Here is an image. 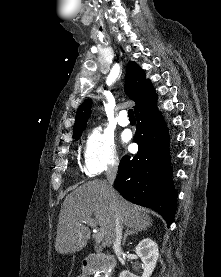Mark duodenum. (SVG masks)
Returning <instances> with one entry per match:
<instances>
[{
    "mask_svg": "<svg viewBox=\"0 0 221 277\" xmlns=\"http://www.w3.org/2000/svg\"><path fill=\"white\" fill-rule=\"evenodd\" d=\"M115 267V258L101 253L90 254L83 261V271L86 275H91L98 269L113 271Z\"/></svg>",
    "mask_w": 221,
    "mask_h": 277,
    "instance_id": "410a0bca",
    "label": "duodenum"
}]
</instances>
